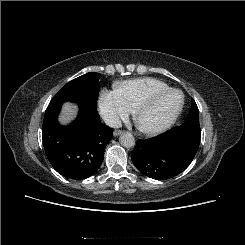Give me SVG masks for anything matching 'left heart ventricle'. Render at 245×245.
Listing matches in <instances>:
<instances>
[{
    "instance_id": "left-heart-ventricle-1",
    "label": "left heart ventricle",
    "mask_w": 245,
    "mask_h": 245,
    "mask_svg": "<svg viewBox=\"0 0 245 245\" xmlns=\"http://www.w3.org/2000/svg\"><path fill=\"white\" fill-rule=\"evenodd\" d=\"M180 103L181 95L179 93H171L142 110L139 115V122L147 127L157 125L174 113Z\"/></svg>"
}]
</instances>
